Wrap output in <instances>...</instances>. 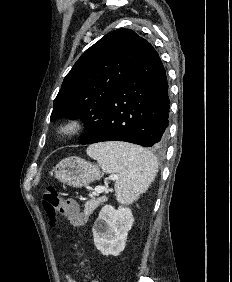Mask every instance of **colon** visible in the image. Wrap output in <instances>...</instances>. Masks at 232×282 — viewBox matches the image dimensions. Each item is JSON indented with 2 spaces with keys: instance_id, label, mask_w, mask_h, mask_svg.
Wrapping results in <instances>:
<instances>
[{
  "instance_id": "5ec220e1",
  "label": "colon",
  "mask_w": 232,
  "mask_h": 282,
  "mask_svg": "<svg viewBox=\"0 0 232 282\" xmlns=\"http://www.w3.org/2000/svg\"><path fill=\"white\" fill-rule=\"evenodd\" d=\"M42 202L50 223L55 221L57 213L65 215L75 226L85 222V217L79 212L76 201L63 199L60 192L53 186L44 189Z\"/></svg>"
}]
</instances>
